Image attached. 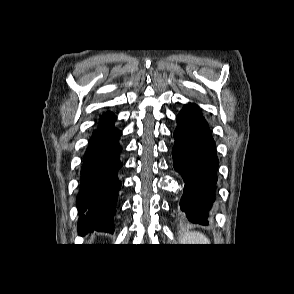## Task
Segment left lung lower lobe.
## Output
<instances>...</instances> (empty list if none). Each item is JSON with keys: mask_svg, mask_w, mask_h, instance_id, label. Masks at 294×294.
I'll return each mask as SVG.
<instances>
[{"mask_svg": "<svg viewBox=\"0 0 294 294\" xmlns=\"http://www.w3.org/2000/svg\"><path fill=\"white\" fill-rule=\"evenodd\" d=\"M176 119L173 166L185 182L180 209L190 222L208 225L217 183L215 142L196 104H188Z\"/></svg>", "mask_w": 294, "mask_h": 294, "instance_id": "obj_1", "label": "left lung lower lobe"}]
</instances>
